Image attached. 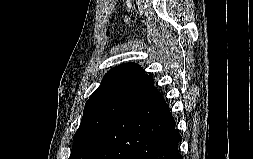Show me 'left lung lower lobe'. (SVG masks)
<instances>
[{
	"label": "left lung lower lobe",
	"mask_w": 253,
	"mask_h": 159,
	"mask_svg": "<svg viewBox=\"0 0 253 159\" xmlns=\"http://www.w3.org/2000/svg\"><path fill=\"white\" fill-rule=\"evenodd\" d=\"M181 135L152 85L110 123L90 159H182Z\"/></svg>",
	"instance_id": "1"
}]
</instances>
